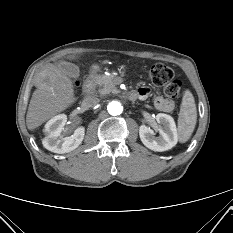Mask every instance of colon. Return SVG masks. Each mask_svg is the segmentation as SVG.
Here are the masks:
<instances>
[{"label": "colon", "mask_w": 233, "mask_h": 233, "mask_svg": "<svg viewBox=\"0 0 233 233\" xmlns=\"http://www.w3.org/2000/svg\"><path fill=\"white\" fill-rule=\"evenodd\" d=\"M150 77L155 85L162 86L166 97L177 99L182 94L180 81L174 79V71L169 66L156 63L150 68Z\"/></svg>", "instance_id": "obj_1"}]
</instances>
